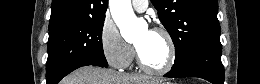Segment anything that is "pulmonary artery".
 <instances>
[{"mask_svg": "<svg viewBox=\"0 0 260 84\" xmlns=\"http://www.w3.org/2000/svg\"><path fill=\"white\" fill-rule=\"evenodd\" d=\"M132 7L137 11V12H144L147 7H148V1H132Z\"/></svg>", "mask_w": 260, "mask_h": 84, "instance_id": "1", "label": "pulmonary artery"}]
</instances>
